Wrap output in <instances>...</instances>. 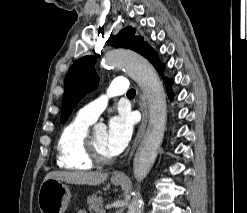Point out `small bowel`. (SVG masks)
Wrapping results in <instances>:
<instances>
[{
  "label": "small bowel",
  "instance_id": "1",
  "mask_svg": "<svg viewBox=\"0 0 247 213\" xmlns=\"http://www.w3.org/2000/svg\"><path fill=\"white\" fill-rule=\"evenodd\" d=\"M79 213H84L83 211H80Z\"/></svg>",
  "mask_w": 247,
  "mask_h": 213
}]
</instances>
